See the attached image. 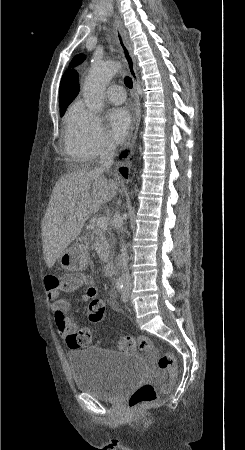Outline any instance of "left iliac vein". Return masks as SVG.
Returning <instances> with one entry per match:
<instances>
[{
  "label": "left iliac vein",
  "mask_w": 245,
  "mask_h": 450,
  "mask_svg": "<svg viewBox=\"0 0 245 450\" xmlns=\"http://www.w3.org/2000/svg\"><path fill=\"white\" fill-rule=\"evenodd\" d=\"M129 296H130V286H125L122 295H121V299L123 302H127L129 300Z\"/></svg>",
  "instance_id": "obj_1"
}]
</instances>
